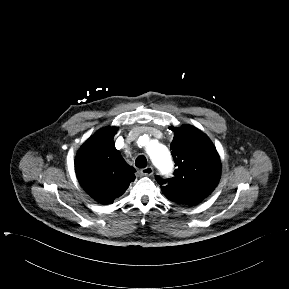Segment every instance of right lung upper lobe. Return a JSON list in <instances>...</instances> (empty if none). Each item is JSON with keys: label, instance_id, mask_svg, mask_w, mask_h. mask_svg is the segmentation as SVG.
Returning <instances> with one entry per match:
<instances>
[{"label": "right lung upper lobe", "instance_id": "cb5924a9", "mask_svg": "<svg viewBox=\"0 0 289 289\" xmlns=\"http://www.w3.org/2000/svg\"><path fill=\"white\" fill-rule=\"evenodd\" d=\"M117 128L106 127L92 135L76 156V175L84 190L96 201L111 204L135 179L113 142Z\"/></svg>", "mask_w": 289, "mask_h": 289}]
</instances>
